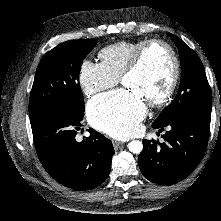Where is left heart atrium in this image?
I'll list each match as a JSON object with an SVG mask.
<instances>
[{
	"label": "left heart atrium",
	"instance_id": "1",
	"mask_svg": "<svg viewBox=\"0 0 221 221\" xmlns=\"http://www.w3.org/2000/svg\"><path fill=\"white\" fill-rule=\"evenodd\" d=\"M146 111L144 100L133 90L100 95L87 107L88 118L95 128L121 140L138 133Z\"/></svg>",
	"mask_w": 221,
	"mask_h": 221
}]
</instances>
